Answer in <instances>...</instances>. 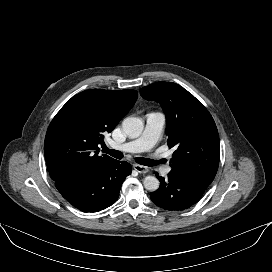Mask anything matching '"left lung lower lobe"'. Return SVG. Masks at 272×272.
<instances>
[{"instance_id": "left-lung-lower-lobe-1", "label": "left lung lower lobe", "mask_w": 272, "mask_h": 272, "mask_svg": "<svg viewBox=\"0 0 272 272\" xmlns=\"http://www.w3.org/2000/svg\"><path fill=\"white\" fill-rule=\"evenodd\" d=\"M160 187L150 194L151 200L169 211L184 210L197 203L209 186L203 182L170 172L164 179L156 173Z\"/></svg>"}]
</instances>
